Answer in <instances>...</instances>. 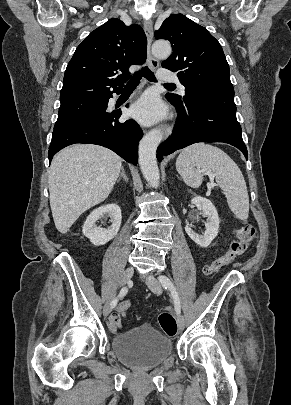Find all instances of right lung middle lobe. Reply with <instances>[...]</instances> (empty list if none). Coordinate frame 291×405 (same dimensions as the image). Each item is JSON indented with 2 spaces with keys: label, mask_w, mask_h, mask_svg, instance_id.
<instances>
[{
  "label": "right lung middle lobe",
  "mask_w": 291,
  "mask_h": 405,
  "mask_svg": "<svg viewBox=\"0 0 291 405\" xmlns=\"http://www.w3.org/2000/svg\"><path fill=\"white\" fill-rule=\"evenodd\" d=\"M106 99H81L61 102L58 119L54 129L65 126L74 121L97 115L106 111Z\"/></svg>",
  "instance_id": "right-lung-middle-lobe-1"
}]
</instances>
